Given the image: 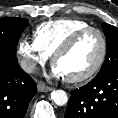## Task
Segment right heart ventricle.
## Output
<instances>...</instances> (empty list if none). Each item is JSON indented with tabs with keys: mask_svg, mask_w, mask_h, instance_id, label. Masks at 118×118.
Listing matches in <instances>:
<instances>
[{
	"mask_svg": "<svg viewBox=\"0 0 118 118\" xmlns=\"http://www.w3.org/2000/svg\"><path fill=\"white\" fill-rule=\"evenodd\" d=\"M86 27L90 25L78 18L50 20L37 26L34 39L45 53L51 56L71 35Z\"/></svg>",
	"mask_w": 118,
	"mask_h": 118,
	"instance_id": "right-heart-ventricle-1",
	"label": "right heart ventricle"
}]
</instances>
